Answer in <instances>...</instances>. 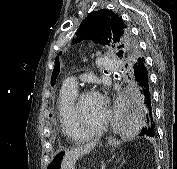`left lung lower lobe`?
<instances>
[{"instance_id": "left-lung-lower-lobe-1", "label": "left lung lower lobe", "mask_w": 177, "mask_h": 169, "mask_svg": "<svg viewBox=\"0 0 177 169\" xmlns=\"http://www.w3.org/2000/svg\"><path fill=\"white\" fill-rule=\"evenodd\" d=\"M129 65L131 74L135 81V88L139 101L145 109V125L143 126L140 136L154 137L156 135L155 124L153 120L151 93L149 88V76L145 59L142 56L134 58Z\"/></svg>"}]
</instances>
